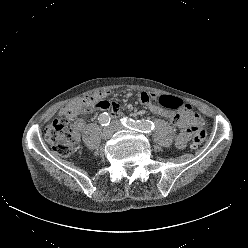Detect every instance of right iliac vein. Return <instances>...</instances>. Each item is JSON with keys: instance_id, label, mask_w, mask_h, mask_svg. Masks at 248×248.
I'll return each mask as SVG.
<instances>
[{"instance_id": "1", "label": "right iliac vein", "mask_w": 248, "mask_h": 248, "mask_svg": "<svg viewBox=\"0 0 248 248\" xmlns=\"http://www.w3.org/2000/svg\"><path fill=\"white\" fill-rule=\"evenodd\" d=\"M113 132H114L113 128L111 126H108L103 129L102 134L105 139H108L113 135Z\"/></svg>"}]
</instances>
